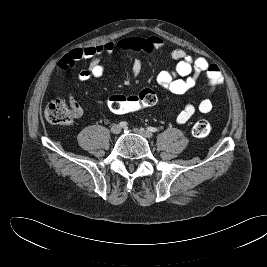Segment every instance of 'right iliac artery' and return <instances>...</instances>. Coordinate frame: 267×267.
<instances>
[{
    "mask_svg": "<svg viewBox=\"0 0 267 267\" xmlns=\"http://www.w3.org/2000/svg\"><path fill=\"white\" fill-rule=\"evenodd\" d=\"M119 125H120L121 127H126V126L128 125V123L125 122V121H122V122L119 123Z\"/></svg>",
    "mask_w": 267,
    "mask_h": 267,
    "instance_id": "82829eb1",
    "label": "right iliac artery"
}]
</instances>
